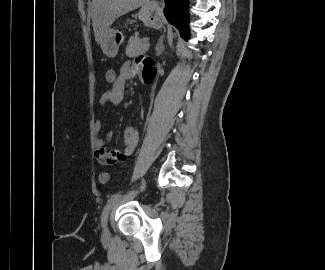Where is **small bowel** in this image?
<instances>
[{"label": "small bowel", "instance_id": "obj_1", "mask_svg": "<svg viewBox=\"0 0 325 270\" xmlns=\"http://www.w3.org/2000/svg\"><path fill=\"white\" fill-rule=\"evenodd\" d=\"M119 82L117 87H111L110 90L104 92L101 96V105L112 104L120 105L125 99L126 82L139 73L145 82L152 81L157 75V66L155 61L149 56H138L135 60V65L131 62H125L119 72ZM102 129L101 120L94 123L93 131L95 134L94 148L95 157L100 164H110L125 160L129 157L136 148L138 142V132L133 126L125 127L123 131V141L125 148L123 151L113 150L107 151L105 148V140L100 137ZM111 137V132L107 133V138Z\"/></svg>", "mask_w": 325, "mask_h": 270}]
</instances>
